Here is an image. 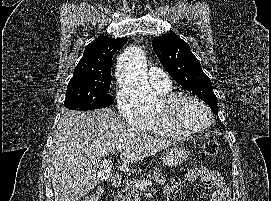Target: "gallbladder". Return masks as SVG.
Returning a JSON list of instances; mask_svg holds the SVG:
<instances>
[{
  "mask_svg": "<svg viewBox=\"0 0 271 201\" xmlns=\"http://www.w3.org/2000/svg\"><path fill=\"white\" fill-rule=\"evenodd\" d=\"M111 174H110V166L105 165L104 163H102L100 165V180H106L108 178H110Z\"/></svg>",
  "mask_w": 271,
  "mask_h": 201,
  "instance_id": "gallbladder-1",
  "label": "gallbladder"
}]
</instances>
